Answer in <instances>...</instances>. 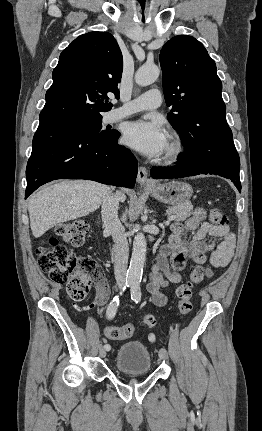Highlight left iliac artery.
<instances>
[{
    "mask_svg": "<svg viewBox=\"0 0 262 431\" xmlns=\"http://www.w3.org/2000/svg\"><path fill=\"white\" fill-rule=\"evenodd\" d=\"M131 299L136 303L141 300V288L139 281H135L131 285Z\"/></svg>",
    "mask_w": 262,
    "mask_h": 431,
    "instance_id": "44dca946",
    "label": "left iliac artery"
}]
</instances>
